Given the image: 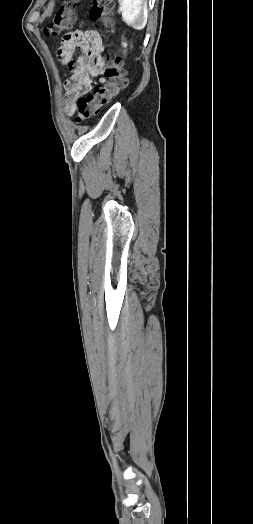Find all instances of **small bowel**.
<instances>
[{
    "label": "small bowel",
    "mask_w": 253,
    "mask_h": 524,
    "mask_svg": "<svg viewBox=\"0 0 253 524\" xmlns=\"http://www.w3.org/2000/svg\"><path fill=\"white\" fill-rule=\"evenodd\" d=\"M58 58L69 66L72 72L66 82V98L75 101L85 96L92 88V81L98 79L103 82L102 73L104 63L101 52L103 44L100 34L95 30L82 31L75 27L69 29L68 34L61 38ZM81 55L74 58L76 49Z\"/></svg>",
    "instance_id": "c3829d8e"
}]
</instances>
